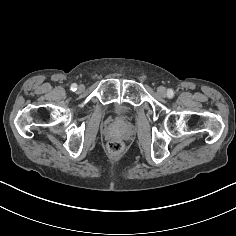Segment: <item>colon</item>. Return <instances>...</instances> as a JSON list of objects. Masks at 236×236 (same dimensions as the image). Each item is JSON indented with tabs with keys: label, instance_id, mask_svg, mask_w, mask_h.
I'll list each match as a JSON object with an SVG mask.
<instances>
[{
	"label": "colon",
	"instance_id": "colon-1",
	"mask_svg": "<svg viewBox=\"0 0 236 236\" xmlns=\"http://www.w3.org/2000/svg\"><path fill=\"white\" fill-rule=\"evenodd\" d=\"M109 150L111 152L117 153L122 149V143L119 140H112L109 145Z\"/></svg>",
	"mask_w": 236,
	"mask_h": 236
}]
</instances>
